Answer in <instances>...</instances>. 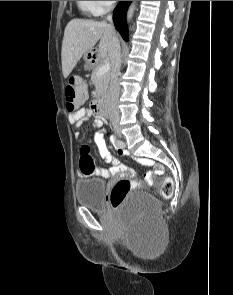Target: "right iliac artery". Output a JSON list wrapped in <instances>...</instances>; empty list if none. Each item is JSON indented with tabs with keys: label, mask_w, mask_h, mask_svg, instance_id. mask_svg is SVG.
<instances>
[{
	"label": "right iliac artery",
	"mask_w": 233,
	"mask_h": 295,
	"mask_svg": "<svg viewBox=\"0 0 233 295\" xmlns=\"http://www.w3.org/2000/svg\"><path fill=\"white\" fill-rule=\"evenodd\" d=\"M124 144L122 141L120 140H117V142H115V147L119 148V147H122Z\"/></svg>",
	"instance_id": "82829eb1"
}]
</instances>
